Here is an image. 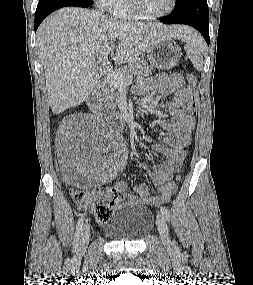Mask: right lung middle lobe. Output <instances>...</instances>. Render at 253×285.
<instances>
[{"instance_id":"right-lung-middle-lobe-1","label":"right lung middle lobe","mask_w":253,"mask_h":285,"mask_svg":"<svg viewBox=\"0 0 253 285\" xmlns=\"http://www.w3.org/2000/svg\"><path fill=\"white\" fill-rule=\"evenodd\" d=\"M41 1V0H39ZM64 1H75V2H81V3H87V4H93V0H64Z\"/></svg>"}]
</instances>
